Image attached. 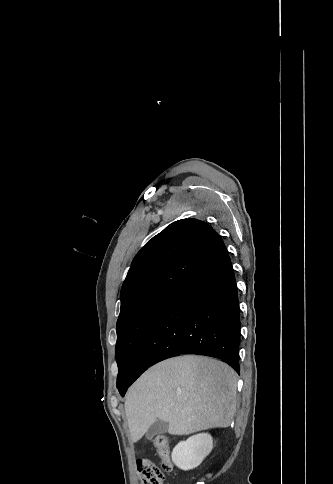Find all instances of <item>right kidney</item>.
Here are the masks:
<instances>
[{
    "label": "right kidney",
    "mask_w": 333,
    "mask_h": 484,
    "mask_svg": "<svg viewBox=\"0 0 333 484\" xmlns=\"http://www.w3.org/2000/svg\"><path fill=\"white\" fill-rule=\"evenodd\" d=\"M213 448V439L208 433H201L178 443L172 452V460L182 470L198 467Z\"/></svg>",
    "instance_id": "right-kidney-1"
}]
</instances>
